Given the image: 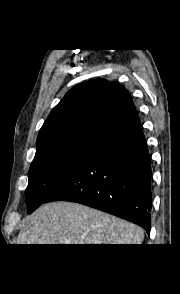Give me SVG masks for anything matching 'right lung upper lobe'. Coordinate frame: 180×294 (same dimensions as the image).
Listing matches in <instances>:
<instances>
[{"label": "right lung upper lobe", "instance_id": "obj_1", "mask_svg": "<svg viewBox=\"0 0 180 294\" xmlns=\"http://www.w3.org/2000/svg\"><path fill=\"white\" fill-rule=\"evenodd\" d=\"M135 112L128 91L105 79L90 80L69 90L51 111L36 141V153L55 144L100 141Z\"/></svg>", "mask_w": 180, "mask_h": 294}]
</instances>
